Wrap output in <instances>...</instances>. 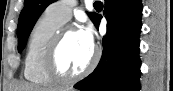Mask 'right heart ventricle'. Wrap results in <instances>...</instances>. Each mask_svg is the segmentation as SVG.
<instances>
[{
	"instance_id": "right-heart-ventricle-1",
	"label": "right heart ventricle",
	"mask_w": 173,
	"mask_h": 91,
	"mask_svg": "<svg viewBox=\"0 0 173 91\" xmlns=\"http://www.w3.org/2000/svg\"><path fill=\"white\" fill-rule=\"evenodd\" d=\"M49 10H46L34 24L24 59V77L36 85H51L53 81L42 68L44 52L51 38L63 26Z\"/></svg>"
}]
</instances>
